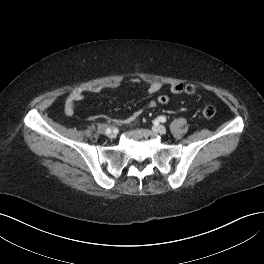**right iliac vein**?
<instances>
[{
    "label": "right iliac vein",
    "mask_w": 264,
    "mask_h": 264,
    "mask_svg": "<svg viewBox=\"0 0 264 264\" xmlns=\"http://www.w3.org/2000/svg\"><path fill=\"white\" fill-rule=\"evenodd\" d=\"M115 136H116L115 132L108 133V137H110V138H114Z\"/></svg>",
    "instance_id": "1"
}]
</instances>
